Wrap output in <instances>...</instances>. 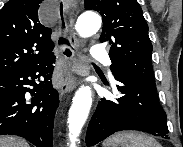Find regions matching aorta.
I'll return each instance as SVG.
<instances>
[{
    "instance_id": "762f6f07",
    "label": "aorta",
    "mask_w": 183,
    "mask_h": 147,
    "mask_svg": "<svg viewBox=\"0 0 183 147\" xmlns=\"http://www.w3.org/2000/svg\"><path fill=\"white\" fill-rule=\"evenodd\" d=\"M102 20L97 13L85 12L76 22V30L81 37L95 34L101 27ZM92 105V91L89 86H81L75 93L68 115L70 147H76L78 137L87 120Z\"/></svg>"
}]
</instances>
